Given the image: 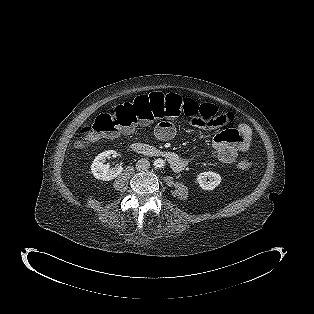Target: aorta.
<instances>
[{"label": "aorta", "instance_id": "762f6f07", "mask_svg": "<svg viewBox=\"0 0 314 314\" xmlns=\"http://www.w3.org/2000/svg\"><path fill=\"white\" fill-rule=\"evenodd\" d=\"M165 165V161L161 158H158L154 161L155 168H162Z\"/></svg>", "mask_w": 314, "mask_h": 314}]
</instances>
